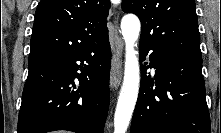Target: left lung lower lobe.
<instances>
[{"instance_id":"0a47b994","label":"left lung lower lobe","mask_w":221,"mask_h":133,"mask_svg":"<svg viewBox=\"0 0 221 133\" xmlns=\"http://www.w3.org/2000/svg\"><path fill=\"white\" fill-rule=\"evenodd\" d=\"M141 86L130 133H210L202 57L140 41Z\"/></svg>"}]
</instances>
